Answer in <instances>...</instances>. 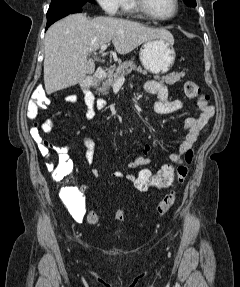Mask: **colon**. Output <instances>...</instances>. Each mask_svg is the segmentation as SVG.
Returning <instances> with one entry per match:
<instances>
[{"instance_id": "obj_1", "label": "colon", "mask_w": 240, "mask_h": 287, "mask_svg": "<svg viewBox=\"0 0 240 287\" xmlns=\"http://www.w3.org/2000/svg\"><path fill=\"white\" fill-rule=\"evenodd\" d=\"M184 92L187 97L199 101H208V96L205 95L199 85L193 81L184 83ZM31 104L38 108H45L49 103V99L42 90H39L31 99ZM194 151L187 150L184 155L176 158H170V163L162 165L157 171L147 168H139L136 174H133V185L138 191H147L150 188H169L167 193L156 206V214L163 216L167 214L173 207L176 201V186L182 184L189 173V166L192 163ZM71 172V164L65 160L58 158L55 164L52 176L56 180L66 179ZM126 211L119 208L115 212V219L118 221L124 220ZM86 220L90 224L98 222V216L93 210H89L86 214Z\"/></svg>"}]
</instances>
